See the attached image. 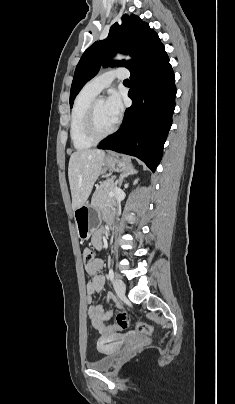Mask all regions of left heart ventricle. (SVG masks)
<instances>
[{
  "instance_id": "b2bd125f",
  "label": "left heart ventricle",
  "mask_w": 235,
  "mask_h": 404,
  "mask_svg": "<svg viewBox=\"0 0 235 404\" xmlns=\"http://www.w3.org/2000/svg\"><path fill=\"white\" fill-rule=\"evenodd\" d=\"M114 125L107 114L104 101H97L96 103V126L99 133H104Z\"/></svg>"
}]
</instances>
